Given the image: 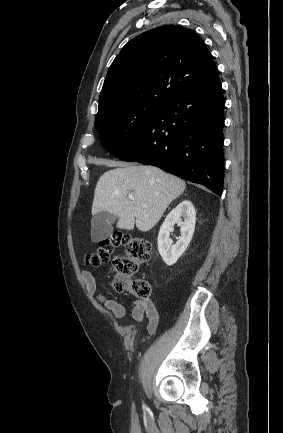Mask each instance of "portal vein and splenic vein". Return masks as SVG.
Instances as JSON below:
<instances>
[{
    "label": "portal vein and splenic vein",
    "mask_w": 283,
    "mask_h": 433,
    "mask_svg": "<svg viewBox=\"0 0 283 433\" xmlns=\"http://www.w3.org/2000/svg\"><path fill=\"white\" fill-rule=\"evenodd\" d=\"M129 198H131V200H134L133 196H129Z\"/></svg>",
    "instance_id": "obj_1"
}]
</instances>
